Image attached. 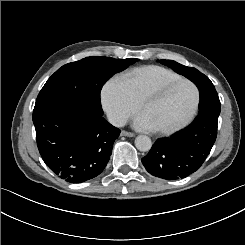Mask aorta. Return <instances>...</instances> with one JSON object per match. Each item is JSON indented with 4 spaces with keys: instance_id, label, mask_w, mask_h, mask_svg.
<instances>
[{
    "instance_id": "obj_1",
    "label": "aorta",
    "mask_w": 245,
    "mask_h": 245,
    "mask_svg": "<svg viewBox=\"0 0 245 245\" xmlns=\"http://www.w3.org/2000/svg\"><path fill=\"white\" fill-rule=\"evenodd\" d=\"M135 146L139 151L146 152L152 147V141L148 136L139 135L135 139Z\"/></svg>"
}]
</instances>
